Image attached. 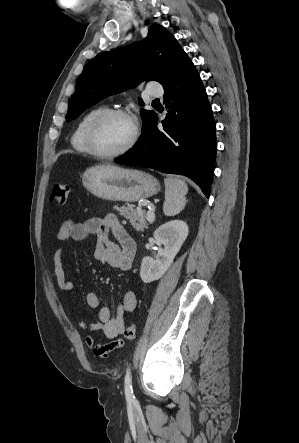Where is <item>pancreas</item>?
<instances>
[{"instance_id": "cf45deb5", "label": "pancreas", "mask_w": 299, "mask_h": 443, "mask_svg": "<svg viewBox=\"0 0 299 443\" xmlns=\"http://www.w3.org/2000/svg\"><path fill=\"white\" fill-rule=\"evenodd\" d=\"M114 208L119 212L121 216L130 220L131 225L137 231L143 232L147 228L146 218L147 213L141 209L136 210L133 204L126 203L125 205Z\"/></svg>"}]
</instances>
